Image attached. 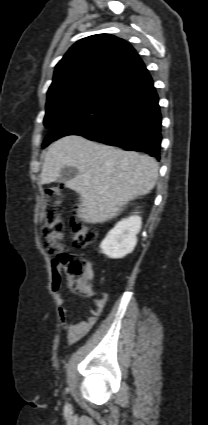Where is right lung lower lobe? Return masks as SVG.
<instances>
[{
  "instance_id": "right-lung-lower-lobe-1",
  "label": "right lung lower lobe",
  "mask_w": 208,
  "mask_h": 425,
  "mask_svg": "<svg viewBox=\"0 0 208 425\" xmlns=\"http://www.w3.org/2000/svg\"><path fill=\"white\" fill-rule=\"evenodd\" d=\"M153 80L142 60L128 68L86 107L58 118L46 137L80 135L160 159L161 114Z\"/></svg>"
}]
</instances>
